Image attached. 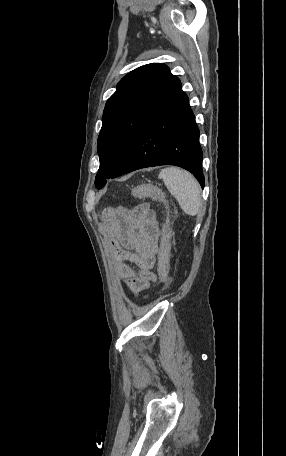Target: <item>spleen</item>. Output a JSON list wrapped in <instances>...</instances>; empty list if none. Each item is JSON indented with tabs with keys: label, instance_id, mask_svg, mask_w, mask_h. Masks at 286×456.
I'll return each instance as SVG.
<instances>
[{
	"label": "spleen",
	"instance_id": "3e777b00",
	"mask_svg": "<svg viewBox=\"0 0 286 456\" xmlns=\"http://www.w3.org/2000/svg\"><path fill=\"white\" fill-rule=\"evenodd\" d=\"M159 178L187 215L195 216L199 213L202 205L201 188L191 173L177 167H168L160 171Z\"/></svg>",
	"mask_w": 286,
	"mask_h": 456
}]
</instances>
